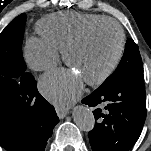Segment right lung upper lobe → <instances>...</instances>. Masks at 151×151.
<instances>
[{
	"instance_id": "cb5924a9",
	"label": "right lung upper lobe",
	"mask_w": 151,
	"mask_h": 151,
	"mask_svg": "<svg viewBox=\"0 0 151 151\" xmlns=\"http://www.w3.org/2000/svg\"><path fill=\"white\" fill-rule=\"evenodd\" d=\"M12 127L11 111L7 107L0 108V140L5 139L10 134Z\"/></svg>"
}]
</instances>
